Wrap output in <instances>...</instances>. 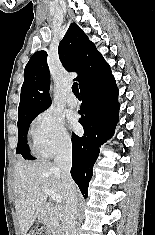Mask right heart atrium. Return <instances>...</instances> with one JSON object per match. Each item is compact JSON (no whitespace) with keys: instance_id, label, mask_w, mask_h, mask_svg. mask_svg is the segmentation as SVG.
Here are the masks:
<instances>
[{"instance_id":"obj_1","label":"right heart atrium","mask_w":155,"mask_h":235,"mask_svg":"<svg viewBox=\"0 0 155 235\" xmlns=\"http://www.w3.org/2000/svg\"><path fill=\"white\" fill-rule=\"evenodd\" d=\"M30 136L36 151L47 157L69 150L72 144L62 117L51 109L42 111L34 118Z\"/></svg>"}]
</instances>
